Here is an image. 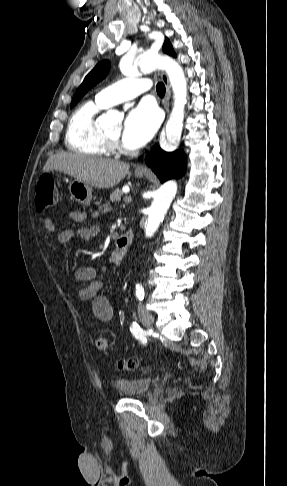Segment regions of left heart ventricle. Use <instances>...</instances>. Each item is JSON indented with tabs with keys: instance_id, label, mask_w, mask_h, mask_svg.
<instances>
[{
	"instance_id": "b2bd125f",
	"label": "left heart ventricle",
	"mask_w": 287,
	"mask_h": 486,
	"mask_svg": "<svg viewBox=\"0 0 287 486\" xmlns=\"http://www.w3.org/2000/svg\"><path fill=\"white\" fill-rule=\"evenodd\" d=\"M120 135H121L120 127H117L108 133V136L114 140H118L120 138Z\"/></svg>"
}]
</instances>
